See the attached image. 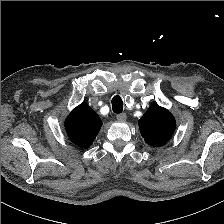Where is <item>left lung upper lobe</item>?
I'll return each mask as SVG.
<instances>
[{"label": "left lung upper lobe", "instance_id": "obj_1", "mask_svg": "<svg viewBox=\"0 0 224 224\" xmlns=\"http://www.w3.org/2000/svg\"><path fill=\"white\" fill-rule=\"evenodd\" d=\"M176 127L174 116L158 104H153L140 118L139 128L145 142L161 146L172 137Z\"/></svg>", "mask_w": 224, "mask_h": 224}]
</instances>
